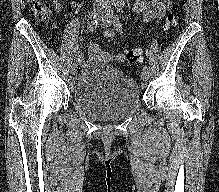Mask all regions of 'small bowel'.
Here are the masks:
<instances>
[{
  "instance_id": "small-bowel-1",
  "label": "small bowel",
  "mask_w": 219,
  "mask_h": 192,
  "mask_svg": "<svg viewBox=\"0 0 219 192\" xmlns=\"http://www.w3.org/2000/svg\"><path fill=\"white\" fill-rule=\"evenodd\" d=\"M172 6V0H134L132 11L136 13H141L143 20L149 22L153 19H160L165 17L167 11ZM61 11V5L56 4V12ZM114 33L112 31H105L106 37H112ZM103 51L100 49L96 42H90L88 45V62L97 63L103 62L101 60V55ZM117 59H122V54L117 56Z\"/></svg>"
}]
</instances>
